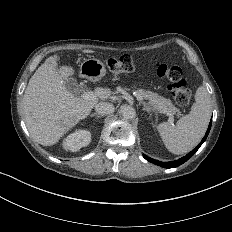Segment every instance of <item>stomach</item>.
Instances as JSON below:
<instances>
[{
	"label": "stomach",
	"mask_w": 232,
	"mask_h": 232,
	"mask_svg": "<svg viewBox=\"0 0 232 232\" xmlns=\"http://www.w3.org/2000/svg\"><path fill=\"white\" fill-rule=\"evenodd\" d=\"M80 73L91 81H98L106 74V68L100 60L91 58L81 64Z\"/></svg>",
	"instance_id": "1"
}]
</instances>
